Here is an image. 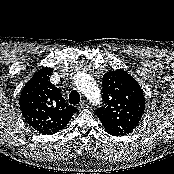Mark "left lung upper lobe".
<instances>
[{"label": "left lung upper lobe", "instance_id": "left-lung-upper-lobe-1", "mask_svg": "<svg viewBox=\"0 0 174 174\" xmlns=\"http://www.w3.org/2000/svg\"><path fill=\"white\" fill-rule=\"evenodd\" d=\"M102 98L105 106L96 115L105 130L124 136L138 125L145 110V98L138 82L122 69L104 74Z\"/></svg>", "mask_w": 174, "mask_h": 174}]
</instances>
